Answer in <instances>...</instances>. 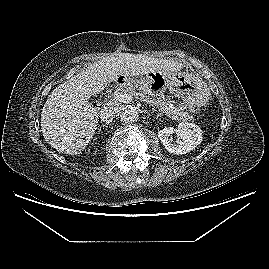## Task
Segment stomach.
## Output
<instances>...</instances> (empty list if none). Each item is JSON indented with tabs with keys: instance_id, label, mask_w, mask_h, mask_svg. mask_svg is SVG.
I'll use <instances>...</instances> for the list:
<instances>
[{
	"instance_id": "1",
	"label": "stomach",
	"mask_w": 269,
	"mask_h": 269,
	"mask_svg": "<svg viewBox=\"0 0 269 269\" xmlns=\"http://www.w3.org/2000/svg\"><path fill=\"white\" fill-rule=\"evenodd\" d=\"M117 83L123 87L136 84L140 90L152 96L168 89L174 96L182 99L177 109L184 118H190L192 111L206 105L211 95L202 78L187 71H154L141 76L137 82L133 76L120 75Z\"/></svg>"
}]
</instances>
